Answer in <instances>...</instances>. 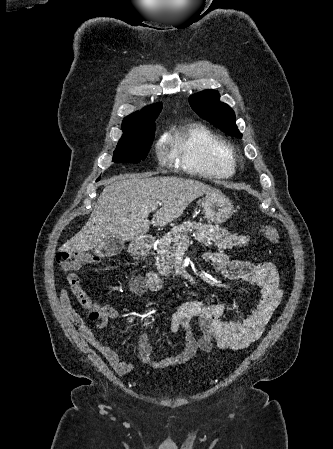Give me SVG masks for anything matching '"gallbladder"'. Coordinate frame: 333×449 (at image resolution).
I'll return each mask as SVG.
<instances>
[{"label": "gallbladder", "mask_w": 333, "mask_h": 449, "mask_svg": "<svg viewBox=\"0 0 333 449\" xmlns=\"http://www.w3.org/2000/svg\"><path fill=\"white\" fill-rule=\"evenodd\" d=\"M124 249V241L118 237L106 239L101 245L96 246L93 252L98 257H111L122 252Z\"/></svg>", "instance_id": "gallbladder-1"}]
</instances>
